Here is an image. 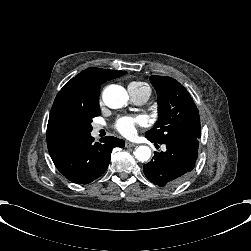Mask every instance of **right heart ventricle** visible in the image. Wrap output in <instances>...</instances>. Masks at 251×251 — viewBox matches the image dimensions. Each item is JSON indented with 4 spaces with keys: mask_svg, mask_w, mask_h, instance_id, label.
Listing matches in <instances>:
<instances>
[{
    "mask_svg": "<svg viewBox=\"0 0 251 251\" xmlns=\"http://www.w3.org/2000/svg\"><path fill=\"white\" fill-rule=\"evenodd\" d=\"M128 89L131 97L135 99L147 100L151 95V87L143 81L132 80L128 85Z\"/></svg>",
    "mask_w": 251,
    "mask_h": 251,
    "instance_id": "obj_1",
    "label": "right heart ventricle"
}]
</instances>
